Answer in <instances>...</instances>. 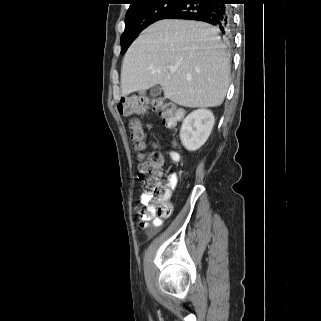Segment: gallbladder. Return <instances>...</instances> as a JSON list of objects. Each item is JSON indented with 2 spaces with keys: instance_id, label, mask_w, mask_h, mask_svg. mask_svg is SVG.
Listing matches in <instances>:
<instances>
[{
  "instance_id": "gallbladder-1",
  "label": "gallbladder",
  "mask_w": 321,
  "mask_h": 321,
  "mask_svg": "<svg viewBox=\"0 0 321 321\" xmlns=\"http://www.w3.org/2000/svg\"><path fill=\"white\" fill-rule=\"evenodd\" d=\"M162 92V88L160 85H155L150 89V96L152 98L158 97Z\"/></svg>"
}]
</instances>
